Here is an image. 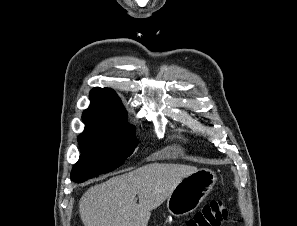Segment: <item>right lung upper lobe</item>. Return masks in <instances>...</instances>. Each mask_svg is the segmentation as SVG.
<instances>
[{"label":"right lung upper lobe","mask_w":297,"mask_h":226,"mask_svg":"<svg viewBox=\"0 0 297 226\" xmlns=\"http://www.w3.org/2000/svg\"><path fill=\"white\" fill-rule=\"evenodd\" d=\"M91 104L83 113L86 127H113L126 112L117 94L110 88H94L90 92Z\"/></svg>","instance_id":"obj_1"}]
</instances>
